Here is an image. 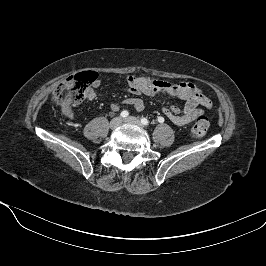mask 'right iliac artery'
<instances>
[{"mask_svg": "<svg viewBox=\"0 0 266 266\" xmlns=\"http://www.w3.org/2000/svg\"><path fill=\"white\" fill-rule=\"evenodd\" d=\"M129 115V112L127 110H124L120 113V116L123 118H126Z\"/></svg>", "mask_w": 266, "mask_h": 266, "instance_id": "obj_1", "label": "right iliac artery"}]
</instances>
